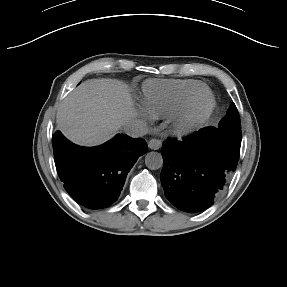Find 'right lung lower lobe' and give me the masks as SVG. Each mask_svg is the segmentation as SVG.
Segmentation results:
<instances>
[{
	"label": "right lung lower lobe",
	"instance_id": "98d812e1",
	"mask_svg": "<svg viewBox=\"0 0 287 287\" xmlns=\"http://www.w3.org/2000/svg\"><path fill=\"white\" fill-rule=\"evenodd\" d=\"M52 143L65 190L90 209L106 208L119 197L128 172L148 150L144 139L125 134H118L101 146L80 147L57 131Z\"/></svg>",
	"mask_w": 287,
	"mask_h": 287
}]
</instances>
